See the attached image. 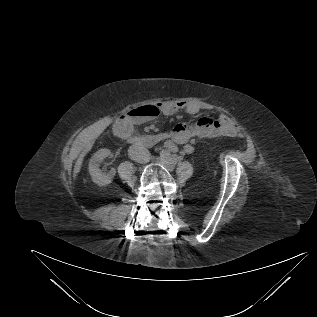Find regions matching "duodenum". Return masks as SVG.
Listing matches in <instances>:
<instances>
[{"label":"duodenum","mask_w":317,"mask_h":317,"mask_svg":"<svg viewBox=\"0 0 317 317\" xmlns=\"http://www.w3.org/2000/svg\"><path fill=\"white\" fill-rule=\"evenodd\" d=\"M125 120L128 118H124ZM118 133L126 137L132 145L144 146V147H153L158 145L160 142L164 141L167 138L166 133H157L152 135L145 136H135L133 134L122 133L117 129Z\"/></svg>","instance_id":"1"}]
</instances>
